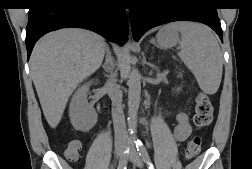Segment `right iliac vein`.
I'll list each match as a JSON object with an SVG mask.
<instances>
[{"instance_id": "1", "label": "right iliac vein", "mask_w": 252, "mask_h": 169, "mask_svg": "<svg viewBox=\"0 0 252 169\" xmlns=\"http://www.w3.org/2000/svg\"><path fill=\"white\" fill-rule=\"evenodd\" d=\"M124 147H125V145L123 143L117 144L115 146V154H116L117 158H121L122 157Z\"/></svg>"}]
</instances>
